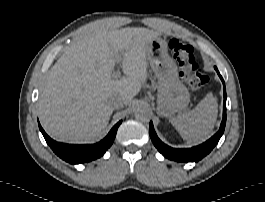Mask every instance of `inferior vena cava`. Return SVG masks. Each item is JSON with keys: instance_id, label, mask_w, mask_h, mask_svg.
<instances>
[{"instance_id": "obj_1", "label": "inferior vena cava", "mask_w": 265, "mask_h": 202, "mask_svg": "<svg viewBox=\"0 0 265 202\" xmlns=\"http://www.w3.org/2000/svg\"><path fill=\"white\" fill-rule=\"evenodd\" d=\"M107 104L112 108V109H120L123 107L125 104L124 98L120 95H112L108 98Z\"/></svg>"}]
</instances>
